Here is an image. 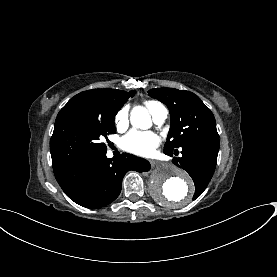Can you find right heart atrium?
<instances>
[{
  "mask_svg": "<svg viewBox=\"0 0 277 277\" xmlns=\"http://www.w3.org/2000/svg\"><path fill=\"white\" fill-rule=\"evenodd\" d=\"M115 124L119 130H124L127 127L128 119L124 111L118 112V114L115 117Z\"/></svg>",
  "mask_w": 277,
  "mask_h": 277,
  "instance_id": "right-heart-atrium-1",
  "label": "right heart atrium"
}]
</instances>
